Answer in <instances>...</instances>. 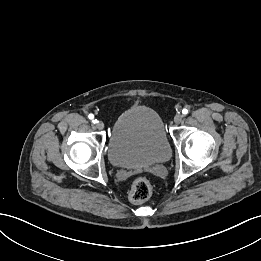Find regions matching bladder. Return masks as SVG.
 <instances>
[{
  "instance_id": "31cf9c89",
  "label": "bladder",
  "mask_w": 261,
  "mask_h": 261,
  "mask_svg": "<svg viewBox=\"0 0 261 261\" xmlns=\"http://www.w3.org/2000/svg\"><path fill=\"white\" fill-rule=\"evenodd\" d=\"M171 144L159 114L146 106H133L113 123L108 158L119 168H135L167 161Z\"/></svg>"
}]
</instances>
